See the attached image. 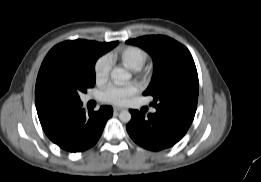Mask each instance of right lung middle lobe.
Here are the masks:
<instances>
[{"instance_id":"right-lung-middle-lobe-1","label":"right lung middle lobe","mask_w":261,"mask_h":182,"mask_svg":"<svg viewBox=\"0 0 261 182\" xmlns=\"http://www.w3.org/2000/svg\"><path fill=\"white\" fill-rule=\"evenodd\" d=\"M93 46L81 52L51 49L38 73L36 89L49 99L62 105L81 102L79 94L95 85V63L97 59L115 47Z\"/></svg>"}]
</instances>
